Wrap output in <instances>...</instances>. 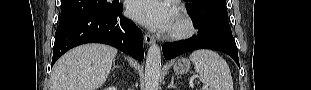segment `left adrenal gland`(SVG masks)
I'll list each match as a JSON object with an SVG mask.
<instances>
[{
    "label": "left adrenal gland",
    "instance_id": "a2214340",
    "mask_svg": "<svg viewBox=\"0 0 311 90\" xmlns=\"http://www.w3.org/2000/svg\"><path fill=\"white\" fill-rule=\"evenodd\" d=\"M168 88H176L174 85V76L171 78V83L168 85Z\"/></svg>",
    "mask_w": 311,
    "mask_h": 90
}]
</instances>
